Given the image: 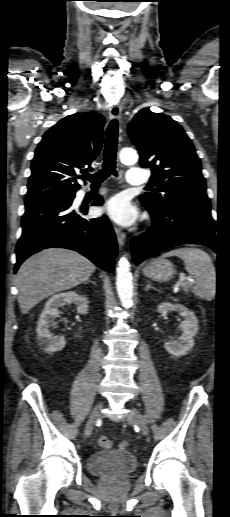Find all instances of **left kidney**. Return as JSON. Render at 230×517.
Here are the masks:
<instances>
[{
  "label": "left kidney",
  "mask_w": 230,
  "mask_h": 517,
  "mask_svg": "<svg viewBox=\"0 0 230 517\" xmlns=\"http://www.w3.org/2000/svg\"><path fill=\"white\" fill-rule=\"evenodd\" d=\"M159 313L177 311L184 318L180 324L182 335L178 340H170L164 344V348L172 355L183 356L194 346V336L198 333V320L195 314L180 304L161 303L157 307Z\"/></svg>",
  "instance_id": "5707ae66"
}]
</instances>
